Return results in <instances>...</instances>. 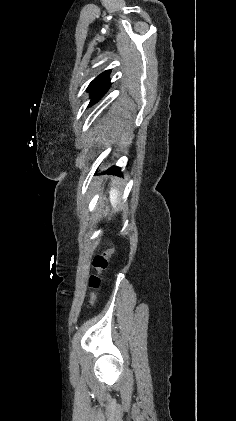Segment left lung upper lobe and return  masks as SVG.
Segmentation results:
<instances>
[{
	"label": "left lung upper lobe",
	"instance_id": "1",
	"mask_svg": "<svg viewBox=\"0 0 236 421\" xmlns=\"http://www.w3.org/2000/svg\"><path fill=\"white\" fill-rule=\"evenodd\" d=\"M110 70H106L98 75L88 86L87 90L91 93L90 105L95 104L108 91L111 83L109 80Z\"/></svg>",
	"mask_w": 236,
	"mask_h": 421
}]
</instances>
